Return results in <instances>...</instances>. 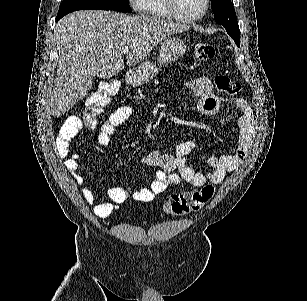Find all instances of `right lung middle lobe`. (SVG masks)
Listing matches in <instances>:
<instances>
[{"label": "right lung middle lobe", "mask_w": 307, "mask_h": 301, "mask_svg": "<svg viewBox=\"0 0 307 301\" xmlns=\"http://www.w3.org/2000/svg\"><path fill=\"white\" fill-rule=\"evenodd\" d=\"M81 9H102L131 13L129 0H63L57 14V20L66 14Z\"/></svg>", "instance_id": "1"}]
</instances>
